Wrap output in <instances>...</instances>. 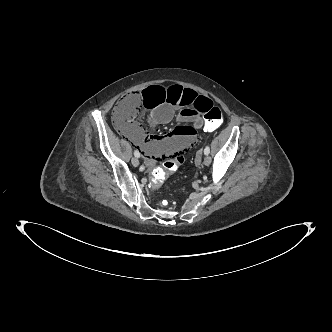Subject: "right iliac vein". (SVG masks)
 I'll use <instances>...</instances> for the list:
<instances>
[{
    "label": "right iliac vein",
    "mask_w": 332,
    "mask_h": 332,
    "mask_svg": "<svg viewBox=\"0 0 332 332\" xmlns=\"http://www.w3.org/2000/svg\"><path fill=\"white\" fill-rule=\"evenodd\" d=\"M131 163L133 166H138L139 165V160L137 159V157H133L131 159Z\"/></svg>",
    "instance_id": "63e3f726"
}]
</instances>
